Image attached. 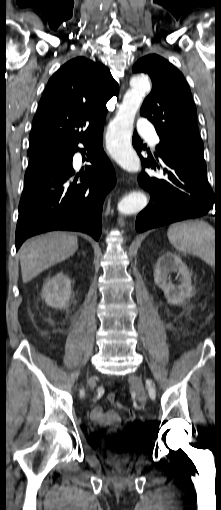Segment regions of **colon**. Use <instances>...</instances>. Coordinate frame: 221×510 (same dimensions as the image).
I'll list each match as a JSON object with an SVG mask.
<instances>
[{"label": "colon", "mask_w": 221, "mask_h": 510, "mask_svg": "<svg viewBox=\"0 0 221 510\" xmlns=\"http://www.w3.org/2000/svg\"><path fill=\"white\" fill-rule=\"evenodd\" d=\"M108 400L110 402H112L117 408L120 407V403L116 401V397H115L114 393H109ZM134 419H135V414L133 412H129L127 418L125 419V423L126 424L131 423L132 421H134ZM119 448H120V444L118 443L115 445V451H118ZM116 466L119 467V464H117Z\"/></svg>", "instance_id": "obj_1"}]
</instances>
